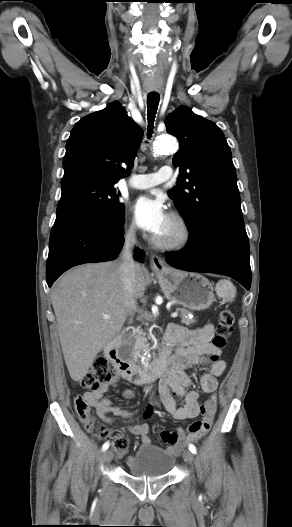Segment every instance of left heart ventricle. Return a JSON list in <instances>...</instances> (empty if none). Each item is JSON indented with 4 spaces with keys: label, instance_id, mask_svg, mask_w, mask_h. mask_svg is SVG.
Segmentation results:
<instances>
[{
    "label": "left heart ventricle",
    "instance_id": "left-heart-ventricle-1",
    "mask_svg": "<svg viewBox=\"0 0 292 527\" xmlns=\"http://www.w3.org/2000/svg\"><path fill=\"white\" fill-rule=\"evenodd\" d=\"M174 231H175L174 226L169 220L166 226L163 228V230L156 236L160 238H168L174 234Z\"/></svg>",
    "mask_w": 292,
    "mask_h": 527
}]
</instances>
